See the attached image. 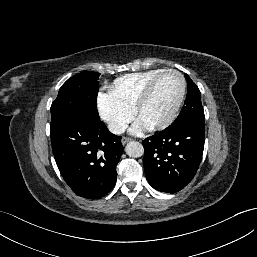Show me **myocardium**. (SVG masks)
Returning a JSON list of instances; mask_svg holds the SVG:
<instances>
[{
	"label": "myocardium",
	"mask_w": 257,
	"mask_h": 257,
	"mask_svg": "<svg viewBox=\"0 0 257 257\" xmlns=\"http://www.w3.org/2000/svg\"><path fill=\"white\" fill-rule=\"evenodd\" d=\"M167 73H174L177 76H179L180 80H181V91H180V95L179 98L174 106V108L172 109V111L170 112V114L161 122L156 123L154 125H151L149 127H147L150 131H158V130H163L165 128H167L168 126H170L174 120L176 119V117L178 116V113L181 109V106L183 104L184 98H185V94H186V88H187V82L186 79L184 77V75L176 70V69H172V68H168V69H164L162 70L159 74H157L148 84L147 86L144 88V90L142 91V93L140 94L139 98L137 99L135 106H134V114L137 118H139L140 112L143 109V107L145 106V104L149 101V99L151 98L153 91L155 89V86L157 85L158 81L160 80V78L167 74Z\"/></svg>",
	"instance_id": "obj_1"
}]
</instances>
